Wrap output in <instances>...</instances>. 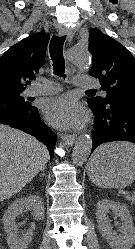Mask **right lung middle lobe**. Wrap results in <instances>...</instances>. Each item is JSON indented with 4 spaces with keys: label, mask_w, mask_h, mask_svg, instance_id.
Listing matches in <instances>:
<instances>
[{
    "label": "right lung middle lobe",
    "mask_w": 135,
    "mask_h": 249,
    "mask_svg": "<svg viewBox=\"0 0 135 249\" xmlns=\"http://www.w3.org/2000/svg\"><path fill=\"white\" fill-rule=\"evenodd\" d=\"M23 91H15V92H0V98H8V99H12L15 101H18L20 103L23 104H28L27 101H25L24 97L21 96V93Z\"/></svg>",
    "instance_id": "1"
}]
</instances>
